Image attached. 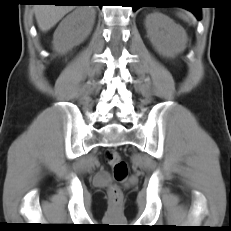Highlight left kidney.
<instances>
[{"instance_id":"left-kidney-1","label":"left kidney","mask_w":231,"mask_h":231,"mask_svg":"<svg viewBox=\"0 0 231 231\" xmlns=\"http://www.w3.org/2000/svg\"><path fill=\"white\" fill-rule=\"evenodd\" d=\"M147 35L156 51L174 57L184 51L188 37L184 28L162 13H152L145 21Z\"/></svg>"}]
</instances>
